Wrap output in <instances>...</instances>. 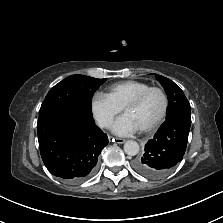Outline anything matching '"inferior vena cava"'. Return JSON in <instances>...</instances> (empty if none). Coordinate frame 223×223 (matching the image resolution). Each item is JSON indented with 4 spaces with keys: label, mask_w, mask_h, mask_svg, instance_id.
I'll return each mask as SVG.
<instances>
[{
    "label": "inferior vena cava",
    "mask_w": 223,
    "mask_h": 223,
    "mask_svg": "<svg viewBox=\"0 0 223 223\" xmlns=\"http://www.w3.org/2000/svg\"><path fill=\"white\" fill-rule=\"evenodd\" d=\"M110 125V122L108 120H101L99 121V126L104 128V127H108Z\"/></svg>",
    "instance_id": "602c4592"
}]
</instances>
